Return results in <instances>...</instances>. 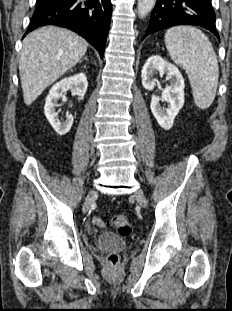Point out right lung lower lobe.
Listing matches in <instances>:
<instances>
[{
	"label": "right lung lower lobe",
	"mask_w": 232,
	"mask_h": 311,
	"mask_svg": "<svg viewBox=\"0 0 232 311\" xmlns=\"http://www.w3.org/2000/svg\"><path fill=\"white\" fill-rule=\"evenodd\" d=\"M111 13L110 0H37L25 35L44 25L65 27L84 37L102 58Z\"/></svg>",
	"instance_id": "right-lung-lower-lobe-1"
}]
</instances>
